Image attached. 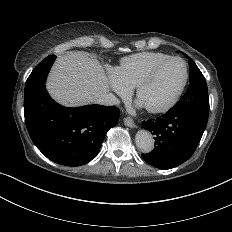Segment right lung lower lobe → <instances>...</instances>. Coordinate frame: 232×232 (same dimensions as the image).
I'll list each match as a JSON object with an SVG mask.
<instances>
[{
  "mask_svg": "<svg viewBox=\"0 0 232 232\" xmlns=\"http://www.w3.org/2000/svg\"><path fill=\"white\" fill-rule=\"evenodd\" d=\"M55 59V55L43 59L26 81L25 123L33 143L48 159L80 166L99 153L106 133L118 123L119 110L101 105L66 108L56 103L45 88Z\"/></svg>",
  "mask_w": 232,
  "mask_h": 232,
  "instance_id": "98d812e1",
  "label": "right lung lower lobe"
}]
</instances>
